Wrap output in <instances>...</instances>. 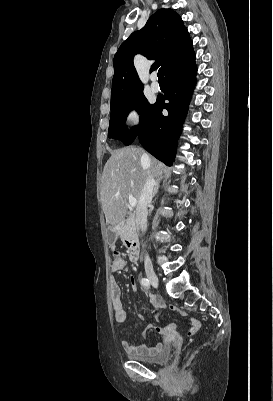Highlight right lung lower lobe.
I'll return each mask as SVG.
<instances>
[{"label": "right lung lower lobe", "instance_id": "1", "mask_svg": "<svg viewBox=\"0 0 273 401\" xmlns=\"http://www.w3.org/2000/svg\"><path fill=\"white\" fill-rule=\"evenodd\" d=\"M197 68L195 58L174 67L166 75L164 98L153 106L150 122L138 133L142 146L166 165H172L176 144L188 109ZM169 100V103L164 101ZM168 110V116L162 110Z\"/></svg>", "mask_w": 273, "mask_h": 401}]
</instances>
